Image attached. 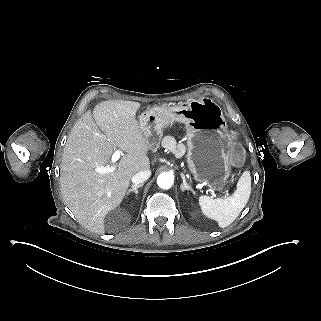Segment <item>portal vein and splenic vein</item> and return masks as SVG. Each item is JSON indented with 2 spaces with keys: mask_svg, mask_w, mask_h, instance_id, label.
Masks as SVG:
<instances>
[{
  "mask_svg": "<svg viewBox=\"0 0 321 321\" xmlns=\"http://www.w3.org/2000/svg\"><path fill=\"white\" fill-rule=\"evenodd\" d=\"M121 155H123V153L121 152L120 149H116L112 155V161H118L119 158L121 157ZM95 172H99V173H108L110 172V167L107 166H99L94 168ZM210 197L215 201L217 198V194L215 192H212L210 194ZM222 197H225V195H223Z\"/></svg>",
  "mask_w": 321,
  "mask_h": 321,
  "instance_id": "obj_1",
  "label": "portal vein and splenic vein"
}]
</instances>
